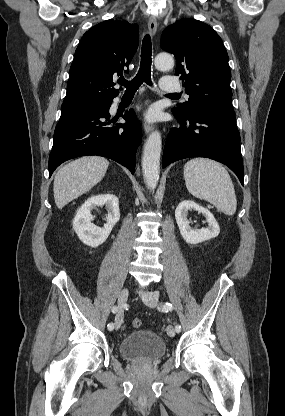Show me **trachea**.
I'll return each mask as SVG.
<instances>
[{"label": "trachea", "instance_id": "1", "mask_svg": "<svg viewBox=\"0 0 285 416\" xmlns=\"http://www.w3.org/2000/svg\"><path fill=\"white\" fill-rule=\"evenodd\" d=\"M152 42L150 35H145L142 48H141V63L140 68L133 80L127 81L124 77L118 80L120 85L126 88V92H136L143 82L148 85H152L151 82V64H152ZM168 96H175L174 93H170Z\"/></svg>", "mask_w": 285, "mask_h": 416}]
</instances>
